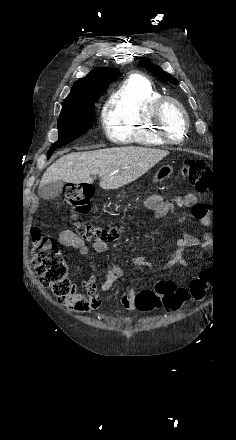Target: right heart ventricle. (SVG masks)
Wrapping results in <instances>:
<instances>
[{"label":"right heart ventricle","instance_id":"right-heart-ventricle-1","mask_svg":"<svg viewBox=\"0 0 236 440\" xmlns=\"http://www.w3.org/2000/svg\"><path fill=\"white\" fill-rule=\"evenodd\" d=\"M162 93L140 74L129 75L109 97L103 111L107 138L117 144L161 146L150 118L152 105Z\"/></svg>","mask_w":236,"mask_h":440}]
</instances>
